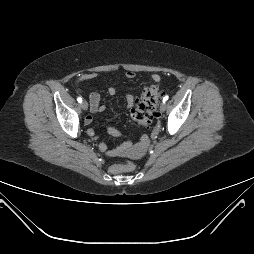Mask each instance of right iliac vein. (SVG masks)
I'll return each instance as SVG.
<instances>
[{"mask_svg":"<svg viewBox=\"0 0 254 254\" xmlns=\"http://www.w3.org/2000/svg\"><path fill=\"white\" fill-rule=\"evenodd\" d=\"M81 108L83 110H87L88 109V103L86 101H82L80 104Z\"/></svg>","mask_w":254,"mask_h":254,"instance_id":"63e3f726","label":"right iliac vein"}]
</instances>
